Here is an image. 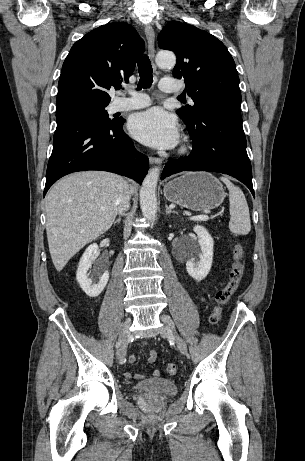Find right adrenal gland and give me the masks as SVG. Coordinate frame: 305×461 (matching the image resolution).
Here are the masks:
<instances>
[{"label": "right adrenal gland", "mask_w": 305, "mask_h": 461, "mask_svg": "<svg viewBox=\"0 0 305 461\" xmlns=\"http://www.w3.org/2000/svg\"><path fill=\"white\" fill-rule=\"evenodd\" d=\"M122 216H123L122 213H119V217L114 221L113 224H114V225L119 224V223L121 222V217H122Z\"/></svg>", "instance_id": "1"}]
</instances>
